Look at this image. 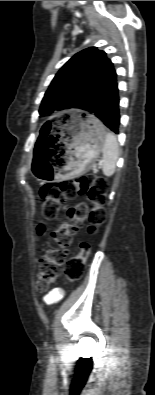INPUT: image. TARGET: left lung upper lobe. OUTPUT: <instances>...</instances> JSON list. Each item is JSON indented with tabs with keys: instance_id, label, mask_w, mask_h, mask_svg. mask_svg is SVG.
I'll return each mask as SVG.
<instances>
[{
	"instance_id": "obj_1",
	"label": "left lung upper lobe",
	"mask_w": 155,
	"mask_h": 395,
	"mask_svg": "<svg viewBox=\"0 0 155 395\" xmlns=\"http://www.w3.org/2000/svg\"><path fill=\"white\" fill-rule=\"evenodd\" d=\"M114 70L104 51L90 47L75 54L59 70L46 91L40 114L79 108L81 102Z\"/></svg>"
}]
</instances>
